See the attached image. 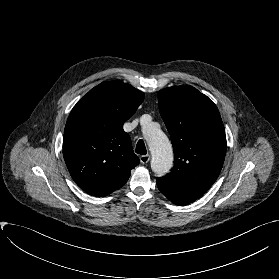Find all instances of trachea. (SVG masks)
<instances>
[{
  "label": "trachea",
  "instance_id": "1",
  "mask_svg": "<svg viewBox=\"0 0 279 279\" xmlns=\"http://www.w3.org/2000/svg\"><path fill=\"white\" fill-rule=\"evenodd\" d=\"M135 152L137 154H140V155H145L147 153V150H146V147H145V143L142 139H140L138 142H137V145H136V150Z\"/></svg>",
  "mask_w": 279,
  "mask_h": 279
}]
</instances>
